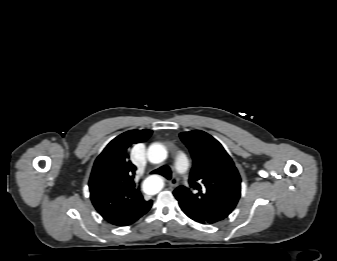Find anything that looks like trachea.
<instances>
[{
    "label": "trachea",
    "instance_id": "1",
    "mask_svg": "<svg viewBox=\"0 0 337 261\" xmlns=\"http://www.w3.org/2000/svg\"><path fill=\"white\" fill-rule=\"evenodd\" d=\"M152 173L163 175L167 179H170L171 176H172L171 171L167 166H163L159 169H156V170L152 171Z\"/></svg>",
    "mask_w": 337,
    "mask_h": 261
}]
</instances>
